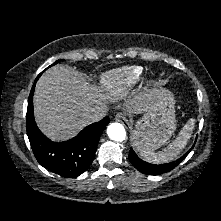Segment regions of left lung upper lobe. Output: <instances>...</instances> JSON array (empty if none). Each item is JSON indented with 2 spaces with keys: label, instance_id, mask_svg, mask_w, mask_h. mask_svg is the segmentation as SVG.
Here are the masks:
<instances>
[{
  "label": "left lung upper lobe",
  "instance_id": "obj_1",
  "mask_svg": "<svg viewBox=\"0 0 221 221\" xmlns=\"http://www.w3.org/2000/svg\"><path fill=\"white\" fill-rule=\"evenodd\" d=\"M155 170H158L159 168H154ZM159 173V172H158Z\"/></svg>",
  "mask_w": 221,
  "mask_h": 221
}]
</instances>
